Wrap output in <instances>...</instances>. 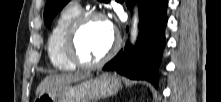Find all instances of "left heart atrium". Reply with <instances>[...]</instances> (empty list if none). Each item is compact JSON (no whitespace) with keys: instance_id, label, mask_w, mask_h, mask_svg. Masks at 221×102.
<instances>
[{"instance_id":"left-heart-atrium-1","label":"left heart atrium","mask_w":221,"mask_h":102,"mask_svg":"<svg viewBox=\"0 0 221 102\" xmlns=\"http://www.w3.org/2000/svg\"><path fill=\"white\" fill-rule=\"evenodd\" d=\"M105 25L107 27V30L113 35L114 34V28L111 22L105 21Z\"/></svg>"}]
</instances>
